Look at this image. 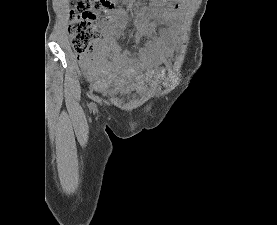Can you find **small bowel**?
Wrapping results in <instances>:
<instances>
[{"instance_id":"small-bowel-1","label":"small bowel","mask_w":277,"mask_h":225,"mask_svg":"<svg viewBox=\"0 0 277 225\" xmlns=\"http://www.w3.org/2000/svg\"><path fill=\"white\" fill-rule=\"evenodd\" d=\"M166 3L167 0H163L156 7L145 10V23L136 31V38L145 37L148 43L145 50L139 53L122 51L114 43L115 37L123 33L129 22L121 9L112 8L101 19L102 48L94 54L77 56L83 74L96 91L103 93L110 87L124 88L122 79L125 74L138 72L146 62L156 66L168 54L179 12L176 6ZM159 25L165 27L156 32ZM152 73L148 71L139 77L137 92L142 93L147 89V81Z\"/></svg>"}]
</instances>
